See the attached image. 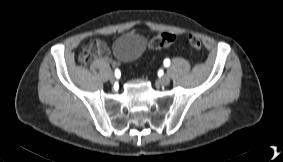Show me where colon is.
<instances>
[{
  "mask_svg": "<svg viewBox=\"0 0 283 162\" xmlns=\"http://www.w3.org/2000/svg\"><path fill=\"white\" fill-rule=\"evenodd\" d=\"M176 37L174 34L172 33H160L157 36H155L152 40H151V47L153 49H162V48H166L170 45H172L175 41ZM187 40H188V44L193 48V49H200L201 48V41L199 40L198 37H196L193 34H189L187 36ZM92 59V55L89 52H82L81 55L79 56V61L87 64L91 61Z\"/></svg>",
  "mask_w": 283,
  "mask_h": 162,
  "instance_id": "1",
  "label": "colon"
}]
</instances>
